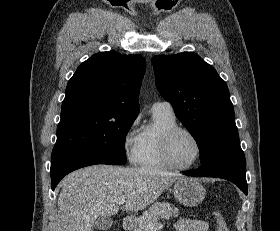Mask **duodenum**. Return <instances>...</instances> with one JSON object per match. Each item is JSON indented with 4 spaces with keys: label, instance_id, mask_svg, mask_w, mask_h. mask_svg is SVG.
Returning <instances> with one entry per match:
<instances>
[{
    "label": "duodenum",
    "instance_id": "410a0bca",
    "mask_svg": "<svg viewBox=\"0 0 280 231\" xmlns=\"http://www.w3.org/2000/svg\"><path fill=\"white\" fill-rule=\"evenodd\" d=\"M134 219L130 216H126L123 218L122 220V226L124 228V230H128L131 225L133 224Z\"/></svg>",
    "mask_w": 280,
    "mask_h": 231
}]
</instances>
